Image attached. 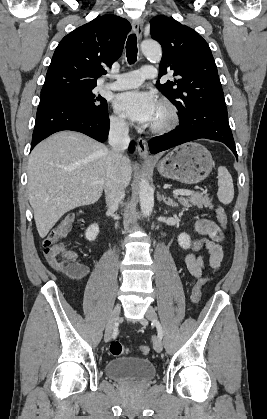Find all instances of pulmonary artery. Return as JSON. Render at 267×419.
Here are the masks:
<instances>
[{"label": "pulmonary artery", "instance_id": "obj_1", "mask_svg": "<svg viewBox=\"0 0 267 419\" xmlns=\"http://www.w3.org/2000/svg\"><path fill=\"white\" fill-rule=\"evenodd\" d=\"M157 76V69L153 66H144L139 70L115 75V81L106 84V87L113 90H124L139 86L145 79H152Z\"/></svg>", "mask_w": 267, "mask_h": 419}]
</instances>
